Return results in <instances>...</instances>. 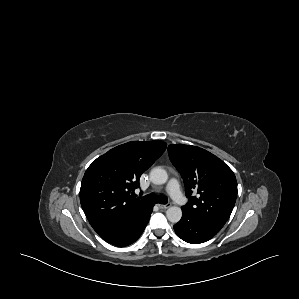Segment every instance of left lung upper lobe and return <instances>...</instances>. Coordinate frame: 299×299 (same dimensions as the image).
Masks as SVG:
<instances>
[{"instance_id":"5c2ea615","label":"left lung upper lobe","mask_w":299,"mask_h":299,"mask_svg":"<svg viewBox=\"0 0 299 299\" xmlns=\"http://www.w3.org/2000/svg\"><path fill=\"white\" fill-rule=\"evenodd\" d=\"M168 154L183 178L189 198L182 211L220 231L236 201L233 171L218 157L196 146L171 144Z\"/></svg>"}]
</instances>
